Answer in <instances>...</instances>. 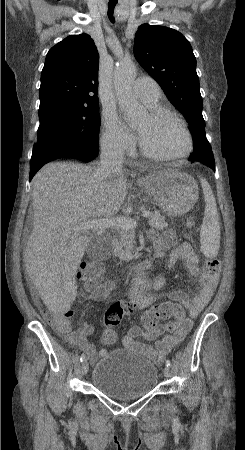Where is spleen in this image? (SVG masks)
<instances>
[{"label": "spleen", "mask_w": 245, "mask_h": 450, "mask_svg": "<svg viewBox=\"0 0 245 450\" xmlns=\"http://www.w3.org/2000/svg\"><path fill=\"white\" fill-rule=\"evenodd\" d=\"M205 200V214L200 230L201 252L207 258L217 256L220 248V223L216 200L209 183L200 178Z\"/></svg>", "instance_id": "spleen-1"}]
</instances>
